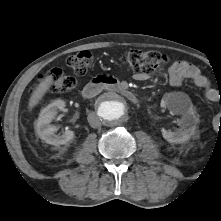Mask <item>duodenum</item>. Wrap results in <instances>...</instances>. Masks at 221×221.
<instances>
[{"mask_svg":"<svg viewBox=\"0 0 221 221\" xmlns=\"http://www.w3.org/2000/svg\"><path fill=\"white\" fill-rule=\"evenodd\" d=\"M105 88L109 89L115 94L125 97L133 103L138 101L137 96L133 91L120 86L114 78L104 76L95 77L90 82H88L83 88V96L86 99H92Z\"/></svg>","mask_w":221,"mask_h":221,"instance_id":"1","label":"duodenum"}]
</instances>
